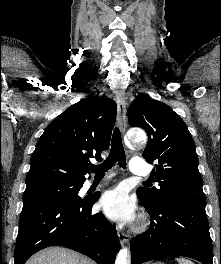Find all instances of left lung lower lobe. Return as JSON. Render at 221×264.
Here are the masks:
<instances>
[{
    "label": "left lung lower lobe",
    "mask_w": 221,
    "mask_h": 264,
    "mask_svg": "<svg viewBox=\"0 0 221 264\" xmlns=\"http://www.w3.org/2000/svg\"><path fill=\"white\" fill-rule=\"evenodd\" d=\"M143 206L151 217V226L131 240L132 264L170 256L213 264L205 205L170 200Z\"/></svg>",
    "instance_id": "left-lung-lower-lobe-1"
}]
</instances>
